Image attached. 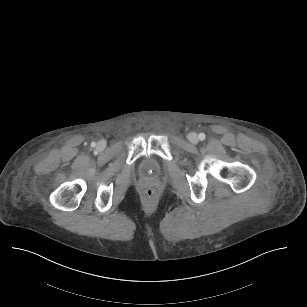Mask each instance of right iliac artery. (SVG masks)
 <instances>
[{
  "mask_svg": "<svg viewBox=\"0 0 307 307\" xmlns=\"http://www.w3.org/2000/svg\"><path fill=\"white\" fill-rule=\"evenodd\" d=\"M92 146H96V144H95V143H93V144H92Z\"/></svg>",
  "mask_w": 307,
  "mask_h": 307,
  "instance_id": "1",
  "label": "right iliac artery"
}]
</instances>
